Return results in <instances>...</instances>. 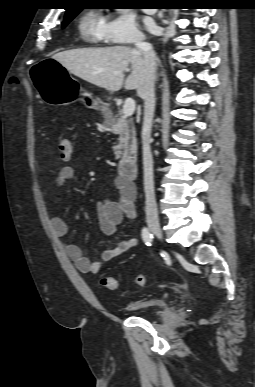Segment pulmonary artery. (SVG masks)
I'll return each instance as SVG.
<instances>
[{
    "label": "pulmonary artery",
    "mask_w": 255,
    "mask_h": 387,
    "mask_svg": "<svg viewBox=\"0 0 255 387\" xmlns=\"http://www.w3.org/2000/svg\"><path fill=\"white\" fill-rule=\"evenodd\" d=\"M145 11L149 14H154L156 12V9H146Z\"/></svg>",
    "instance_id": "1"
}]
</instances>
